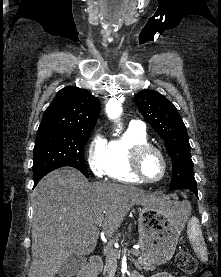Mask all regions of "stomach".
I'll return each instance as SVG.
<instances>
[{"instance_id": "stomach-1", "label": "stomach", "mask_w": 221, "mask_h": 277, "mask_svg": "<svg viewBox=\"0 0 221 277\" xmlns=\"http://www.w3.org/2000/svg\"><path fill=\"white\" fill-rule=\"evenodd\" d=\"M188 208L186 204L168 200L165 207L139 208V245L148 263L162 265L172 258L189 216Z\"/></svg>"}]
</instances>
